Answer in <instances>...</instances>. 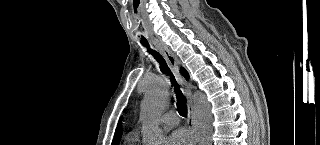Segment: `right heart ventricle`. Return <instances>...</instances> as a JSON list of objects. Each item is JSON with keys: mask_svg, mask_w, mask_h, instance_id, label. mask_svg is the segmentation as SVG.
I'll use <instances>...</instances> for the list:
<instances>
[{"mask_svg": "<svg viewBox=\"0 0 320 145\" xmlns=\"http://www.w3.org/2000/svg\"><path fill=\"white\" fill-rule=\"evenodd\" d=\"M127 145H135L134 140L129 139V140L127 141Z\"/></svg>", "mask_w": 320, "mask_h": 145, "instance_id": "1", "label": "right heart ventricle"}]
</instances>
